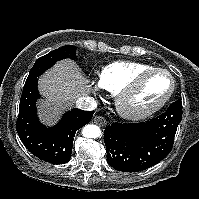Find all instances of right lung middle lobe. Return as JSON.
Listing matches in <instances>:
<instances>
[{"mask_svg": "<svg viewBox=\"0 0 199 199\" xmlns=\"http://www.w3.org/2000/svg\"><path fill=\"white\" fill-rule=\"evenodd\" d=\"M76 47L71 45H65L61 48L55 49L50 53L38 58L34 64V66L44 64V63H55L58 60H62L65 58L76 59Z\"/></svg>", "mask_w": 199, "mask_h": 199, "instance_id": "dd1d6c3e", "label": "right lung middle lobe"}]
</instances>
